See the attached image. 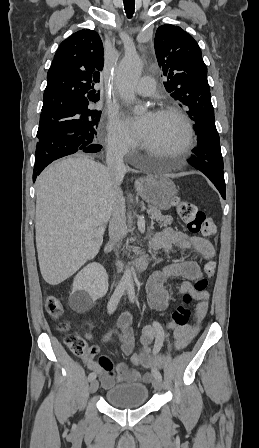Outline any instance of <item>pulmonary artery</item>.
<instances>
[{
  "instance_id": "pulmonary-artery-1",
  "label": "pulmonary artery",
  "mask_w": 259,
  "mask_h": 448,
  "mask_svg": "<svg viewBox=\"0 0 259 448\" xmlns=\"http://www.w3.org/2000/svg\"><path fill=\"white\" fill-rule=\"evenodd\" d=\"M121 65L125 67L127 71H132L136 68V64L131 60L130 57L124 58L121 62ZM146 81H154V79L150 76L138 77L137 83L136 85L131 87V91L139 95H151L154 92V87L145 85L144 83Z\"/></svg>"
}]
</instances>
